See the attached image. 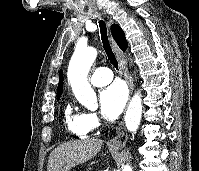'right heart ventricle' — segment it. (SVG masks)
Instances as JSON below:
<instances>
[{"label":"right heart ventricle","mask_w":199,"mask_h":171,"mask_svg":"<svg viewBox=\"0 0 199 171\" xmlns=\"http://www.w3.org/2000/svg\"><path fill=\"white\" fill-rule=\"evenodd\" d=\"M64 119L71 135L83 138L88 134L84 125V114L74 110L70 103H67L64 108Z\"/></svg>","instance_id":"1"}]
</instances>
